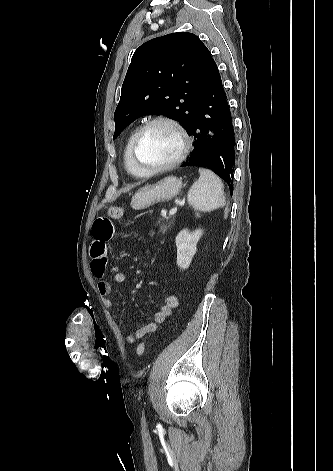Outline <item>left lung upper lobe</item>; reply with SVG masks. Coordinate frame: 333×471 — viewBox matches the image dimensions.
I'll return each mask as SVG.
<instances>
[{"label": "left lung upper lobe", "mask_w": 333, "mask_h": 471, "mask_svg": "<svg viewBox=\"0 0 333 471\" xmlns=\"http://www.w3.org/2000/svg\"><path fill=\"white\" fill-rule=\"evenodd\" d=\"M216 63L192 33L154 38L134 53L115 110V133L148 114H162L188 130Z\"/></svg>", "instance_id": "1"}]
</instances>
